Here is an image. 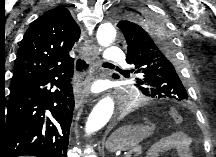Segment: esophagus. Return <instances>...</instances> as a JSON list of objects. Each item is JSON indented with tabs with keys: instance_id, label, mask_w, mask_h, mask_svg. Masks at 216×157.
I'll return each instance as SVG.
<instances>
[{
	"instance_id": "esophagus-1",
	"label": "esophagus",
	"mask_w": 216,
	"mask_h": 157,
	"mask_svg": "<svg viewBox=\"0 0 216 157\" xmlns=\"http://www.w3.org/2000/svg\"><path fill=\"white\" fill-rule=\"evenodd\" d=\"M81 48L88 53V57L84 61L82 60L83 63L75 64V74L80 76L82 82L81 87H79V84L75 86V101L77 105H81L90 94L95 70L98 66V48L90 40Z\"/></svg>"
}]
</instances>
